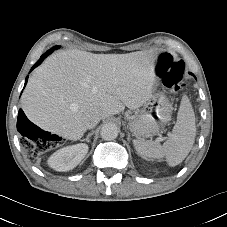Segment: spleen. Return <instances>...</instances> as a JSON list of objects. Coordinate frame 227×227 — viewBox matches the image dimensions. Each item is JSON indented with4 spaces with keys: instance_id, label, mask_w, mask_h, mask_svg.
<instances>
[{
    "instance_id": "3e777b00",
    "label": "spleen",
    "mask_w": 227,
    "mask_h": 227,
    "mask_svg": "<svg viewBox=\"0 0 227 227\" xmlns=\"http://www.w3.org/2000/svg\"><path fill=\"white\" fill-rule=\"evenodd\" d=\"M196 136L195 114L192 105L185 95L177 113V122L168 140L160 145L157 141L134 140L138 154L160 159L165 157L170 166L180 164L193 147Z\"/></svg>"
}]
</instances>
